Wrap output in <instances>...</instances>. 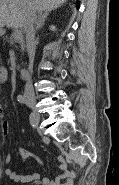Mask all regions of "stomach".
I'll list each match as a JSON object with an SVG mask.
<instances>
[{
  "instance_id": "1",
  "label": "stomach",
  "mask_w": 119,
  "mask_h": 185,
  "mask_svg": "<svg viewBox=\"0 0 119 185\" xmlns=\"http://www.w3.org/2000/svg\"><path fill=\"white\" fill-rule=\"evenodd\" d=\"M4 34V31L2 28H0V36Z\"/></svg>"
}]
</instances>
